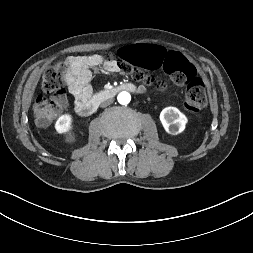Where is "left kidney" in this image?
<instances>
[{
    "label": "left kidney",
    "instance_id": "1",
    "mask_svg": "<svg viewBox=\"0 0 253 253\" xmlns=\"http://www.w3.org/2000/svg\"><path fill=\"white\" fill-rule=\"evenodd\" d=\"M160 121L168 134L177 135L184 131L187 117L176 107H166L160 113Z\"/></svg>",
    "mask_w": 253,
    "mask_h": 253
}]
</instances>
